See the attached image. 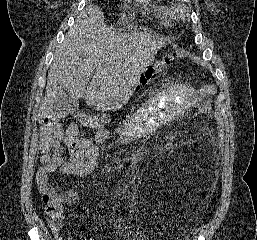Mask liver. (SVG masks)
<instances>
[{"instance_id":"1","label":"liver","mask_w":257,"mask_h":240,"mask_svg":"<svg viewBox=\"0 0 257 240\" xmlns=\"http://www.w3.org/2000/svg\"><path fill=\"white\" fill-rule=\"evenodd\" d=\"M103 22V13L96 5H87L79 13L55 51L40 106L42 116L53 113L64 90L73 99L85 97L86 103L97 111L121 107L165 45L151 34H121Z\"/></svg>"}]
</instances>
